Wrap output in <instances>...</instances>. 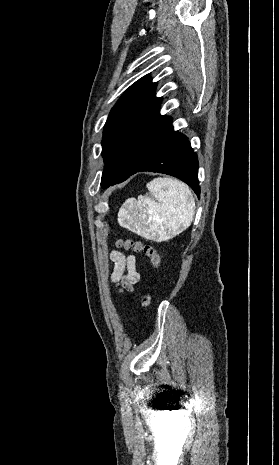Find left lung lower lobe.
Wrapping results in <instances>:
<instances>
[{
	"label": "left lung lower lobe",
	"mask_w": 279,
	"mask_h": 465,
	"mask_svg": "<svg viewBox=\"0 0 279 465\" xmlns=\"http://www.w3.org/2000/svg\"><path fill=\"white\" fill-rule=\"evenodd\" d=\"M168 174L187 183L199 197L198 159L186 136L172 132L132 173Z\"/></svg>",
	"instance_id": "1"
}]
</instances>
